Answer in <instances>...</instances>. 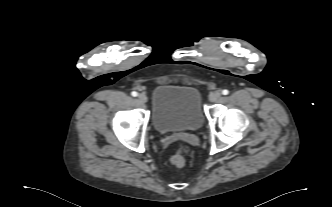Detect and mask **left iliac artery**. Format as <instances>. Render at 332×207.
I'll return each instance as SVG.
<instances>
[{"label":"left iliac artery","mask_w":332,"mask_h":207,"mask_svg":"<svg viewBox=\"0 0 332 207\" xmlns=\"http://www.w3.org/2000/svg\"><path fill=\"white\" fill-rule=\"evenodd\" d=\"M229 93V91L227 90V89H224L223 91H222V94L223 95H227Z\"/></svg>","instance_id":"44dca946"}]
</instances>
